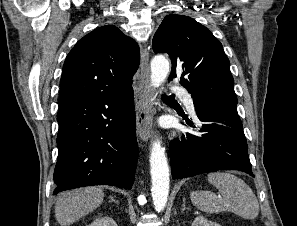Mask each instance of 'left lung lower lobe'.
<instances>
[{"label": "left lung lower lobe", "instance_id": "obj_1", "mask_svg": "<svg viewBox=\"0 0 297 226\" xmlns=\"http://www.w3.org/2000/svg\"><path fill=\"white\" fill-rule=\"evenodd\" d=\"M200 127L170 144L173 179L192 177L217 170H239L254 176L247 141L237 107L210 104L195 107Z\"/></svg>", "mask_w": 297, "mask_h": 226}]
</instances>
